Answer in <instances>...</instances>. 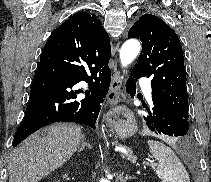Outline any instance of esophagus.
Instances as JSON below:
<instances>
[{
    "label": "esophagus",
    "instance_id": "esophagus-1",
    "mask_svg": "<svg viewBox=\"0 0 211 182\" xmlns=\"http://www.w3.org/2000/svg\"><path fill=\"white\" fill-rule=\"evenodd\" d=\"M123 77L120 71L115 70L112 76L109 92L107 94V100L111 105H117L124 101L126 95L122 91Z\"/></svg>",
    "mask_w": 211,
    "mask_h": 182
}]
</instances>
